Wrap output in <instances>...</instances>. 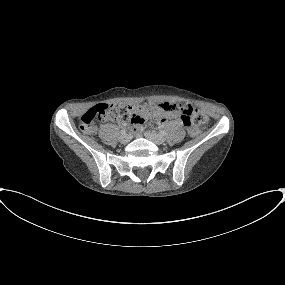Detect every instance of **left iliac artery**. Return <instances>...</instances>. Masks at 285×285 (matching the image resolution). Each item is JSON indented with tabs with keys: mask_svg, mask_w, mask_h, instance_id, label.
I'll return each mask as SVG.
<instances>
[{
	"mask_svg": "<svg viewBox=\"0 0 285 285\" xmlns=\"http://www.w3.org/2000/svg\"><path fill=\"white\" fill-rule=\"evenodd\" d=\"M160 134H161L162 136H165V135H166V132H165L164 130H161V131H160Z\"/></svg>",
	"mask_w": 285,
	"mask_h": 285,
	"instance_id": "1",
	"label": "left iliac artery"
}]
</instances>
